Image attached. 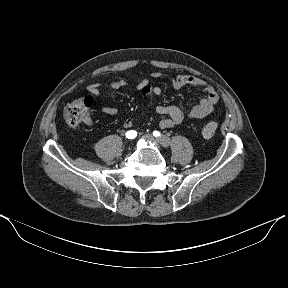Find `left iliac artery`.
<instances>
[{"label":"left iliac artery","instance_id":"left-iliac-artery-1","mask_svg":"<svg viewBox=\"0 0 288 288\" xmlns=\"http://www.w3.org/2000/svg\"><path fill=\"white\" fill-rule=\"evenodd\" d=\"M153 135H154L155 137H160V136H161V133H160L159 131L155 130V131H153Z\"/></svg>","mask_w":288,"mask_h":288}]
</instances>
